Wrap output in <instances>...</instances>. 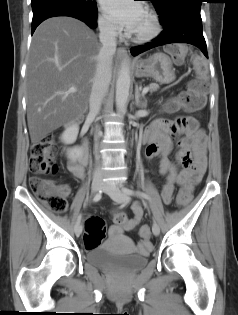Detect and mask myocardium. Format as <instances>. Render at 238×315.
I'll use <instances>...</instances> for the list:
<instances>
[{
  "instance_id": "myocardium-1",
  "label": "myocardium",
  "mask_w": 238,
  "mask_h": 315,
  "mask_svg": "<svg viewBox=\"0 0 238 315\" xmlns=\"http://www.w3.org/2000/svg\"><path fill=\"white\" fill-rule=\"evenodd\" d=\"M150 19V28L147 32L142 34H130V38L137 43H146L153 40L160 33L161 27L158 16L151 10L145 12Z\"/></svg>"
}]
</instances>
